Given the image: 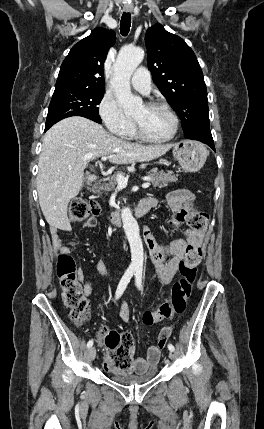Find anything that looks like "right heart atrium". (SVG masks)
I'll use <instances>...</instances> for the list:
<instances>
[{
    "label": "right heart atrium",
    "mask_w": 264,
    "mask_h": 429,
    "mask_svg": "<svg viewBox=\"0 0 264 429\" xmlns=\"http://www.w3.org/2000/svg\"><path fill=\"white\" fill-rule=\"evenodd\" d=\"M98 115L106 129L115 136L125 137L134 127L132 119L123 113L110 94H105L100 100Z\"/></svg>",
    "instance_id": "obj_1"
}]
</instances>
